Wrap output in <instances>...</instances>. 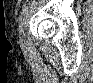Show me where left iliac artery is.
Here are the masks:
<instances>
[{
    "instance_id": "1",
    "label": "left iliac artery",
    "mask_w": 93,
    "mask_h": 83,
    "mask_svg": "<svg viewBox=\"0 0 93 83\" xmlns=\"http://www.w3.org/2000/svg\"><path fill=\"white\" fill-rule=\"evenodd\" d=\"M27 10H28V7H25V8L23 9V11L21 12L19 18H18V20H19V30H20V28H21L22 25H23V20H24V17H25V15H26Z\"/></svg>"
}]
</instances>
